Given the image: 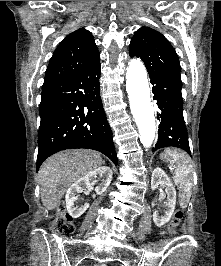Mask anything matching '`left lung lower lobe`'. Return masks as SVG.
<instances>
[{
    "label": "left lung lower lobe",
    "instance_id": "1",
    "mask_svg": "<svg viewBox=\"0 0 221 266\" xmlns=\"http://www.w3.org/2000/svg\"><path fill=\"white\" fill-rule=\"evenodd\" d=\"M153 99L157 100L160 113L158 142L152 151L163 147H178L191 153L183 117L182 83L159 76H150ZM191 155V154H190Z\"/></svg>",
    "mask_w": 221,
    "mask_h": 266
}]
</instances>
